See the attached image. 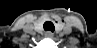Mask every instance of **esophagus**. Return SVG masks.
<instances>
[{
  "instance_id": "obj_1",
  "label": "esophagus",
  "mask_w": 97,
  "mask_h": 48,
  "mask_svg": "<svg viewBox=\"0 0 97 48\" xmlns=\"http://www.w3.org/2000/svg\"><path fill=\"white\" fill-rule=\"evenodd\" d=\"M45 36H47V37H52V36H53V33L50 32V31H48V32L45 33Z\"/></svg>"
}]
</instances>
